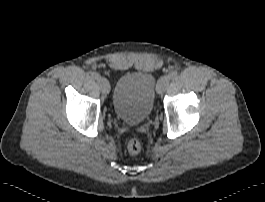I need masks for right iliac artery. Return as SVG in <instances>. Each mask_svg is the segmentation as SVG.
Masks as SVG:
<instances>
[{
  "mask_svg": "<svg viewBox=\"0 0 265 202\" xmlns=\"http://www.w3.org/2000/svg\"><path fill=\"white\" fill-rule=\"evenodd\" d=\"M90 77H91L92 79L97 80V79L100 77V75H99L97 72H95V71H91V72H90Z\"/></svg>",
  "mask_w": 265,
  "mask_h": 202,
  "instance_id": "obj_1",
  "label": "right iliac artery"
}]
</instances>
